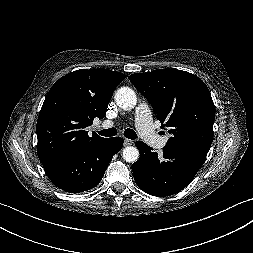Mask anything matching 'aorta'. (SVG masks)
Instances as JSON below:
<instances>
[{
	"instance_id": "obj_1",
	"label": "aorta",
	"mask_w": 253,
	"mask_h": 253,
	"mask_svg": "<svg viewBox=\"0 0 253 253\" xmlns=\"http://www.w3.org/2000/svg\"><path fill=\"white\" fill-rule=\"evenodd\" d=\"M114 98L117 105L124 110L134 108L137 103V96L129 87L119 88ZM122 156L126 162L134 163L139 159V151L136 147L128 146L123 149Z\"/></svg>"
}]
</instances>
